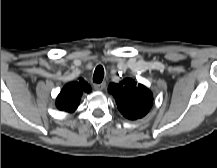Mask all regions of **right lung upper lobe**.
<instances>
[{"label":"right lung upper lobe","mask_w":217,"mask_h":168,"mask_svg":"<svg viewBox=\"0 0 217 168\" xmlns=\"http://www.w3.org/2000/svg\"><path fill=\"white\" fill-rule=\"evenodd\" d=\"M90 91V86L82 78L79 81L70 82L63 87L58 95L56 106L62 111L71 113L78 107L82 94Z\"/></svg>","instance_id":"obj_1"}]
</instances>
